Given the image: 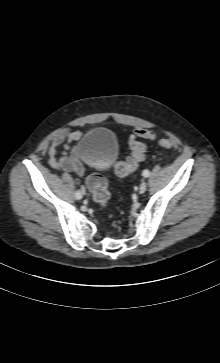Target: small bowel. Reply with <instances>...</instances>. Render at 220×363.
Masks as SVG:
<instances>
[{
	"label": "small bowel",
	"mask_w": 220,
	"mask_h": 363,
	"mask_svg": "<svg viewBox=\"0 0 220 363\" xmlns=\"http://www.w3.org/2000/svg\"><path fill=\"white\" fill-rule=\"evenodd\" d=\"M82 136L81 131L62 129L56 132L49 145V164L57 170L74 172L83 175L84 168L79 158L78 150L69 151V142L78 140ZM63 146L62 153L58 154V149Z\"/></svg>",
	"instance_id": "1"
}]
</instances>
